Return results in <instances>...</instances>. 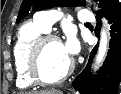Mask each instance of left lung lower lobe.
I'll list each match as a JSON object with an SVG mask.
<instances>
[{"mask_svg": "<svg viewBox=\"0 0 121 94\" xmlns=\"http://www.w3.org/2000/svg\"><path fill=\"white\" fill-rule=\"evenodd\" d=\"M106 18L111 29L110 49L102 67L94 76L89 74V69L97 46L91 51L87 67L72 82L73 87L82 94H117L121 79V6L111 11Z\"/></svg>", "mask_w": 121, "mask_h": 94, "instance_id": "obj_1", "label": "left lung lower lobe"}]
</instances>
